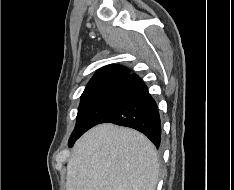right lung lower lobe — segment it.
<instances>
[{"mask_svg": "<svg viewBox=\"0 0 234 190\" xmlns=\"http://www.w3.org/2000/svg\"><path fill=\"white\" fill-rule=\"evenodd\" d=\"M101 123H114L136 129L146 135L159 148L161 142V122L155 100L147 86L136 75L130 74L118 99ZM78 138L69 140L72 146Z\"/></svg>", "mask_w": 234, "mask_h": 190, "instance_id": "right-lung-lower-lobe-1", "label": "right lung lower lobe"}]
</instances>
